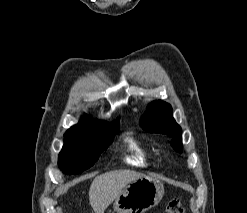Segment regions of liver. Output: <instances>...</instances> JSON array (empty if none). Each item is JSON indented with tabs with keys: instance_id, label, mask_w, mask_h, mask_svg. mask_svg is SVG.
<instances>
[{
	"instance_id": "6515ba94",
	"label": "liver",
	"mask_w": 247,
	"mask_h": 213,
	"mask_svg": "<svg viewBox=\"0 0 247 213\" xmlns=\"http://www.w3.org/2000/svg\"><path fill=\"white\" fill-rule=\"evenodd\" d=\"M142 177L145 175L132 170H117L96 176L89 190V202L94 212L104 213L124 187Z\"/></svg>"
}]
</instances>
